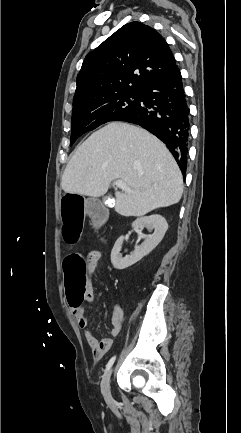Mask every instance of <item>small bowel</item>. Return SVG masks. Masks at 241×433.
Wrapping results in <instances>:
<instances>
[{
    "label": "small bowel",
    "instance_id": "obj_1",
    "mask_svg": "<svg viewBox=\"0 0 241 433\" xmlns=\"http://www.w3.org/2000/svg\"><path fill=\"white\" fill-rule=\"evenodd\" d=\"M100 258H101V253L98 250L90 251L87 254L86 269L89 277L93 275ZM86 299L90 302H92L94 299L93 287L91 282H89L88 284V292L86 295ZM70 309L74 319L77 322L78 327L85 330V337L89 346L91 347L94 359L96 360L102 359L112 346V338L97 339L88 328L89 321L85 316L84 309L80 307V310H75V305H70ZM123 317L124 314L121 306L118 303H114L112 317H111L112 337H117L120 334L123 327Z\"/></svg>",
    "mask_w": 241,
    "mask_h": 433
}]
</instances>
